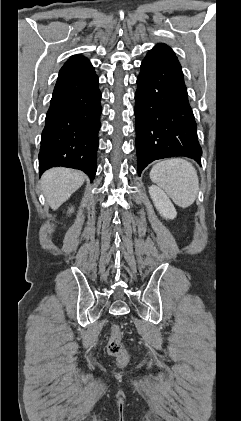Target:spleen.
Listing matches in <instances>:
<instances>
[{
	"instance_id": "spleen-1",
	"label": "spleen",
	"mask_w": 241,
	"mask_h": 421,
	"mask_svg": "<svg viewBox=\"0 0 241 421\" xmlns=\"http://www.w3.org/2000/svg\"><path fill=\"white\" fill-rule=\"evenodd\" d=\"M150 178L179 207L191 206L197 197L199 190L197 171L185 159L172 158L158 162L152 167Z\"/></svg>"
}]
</instances>
